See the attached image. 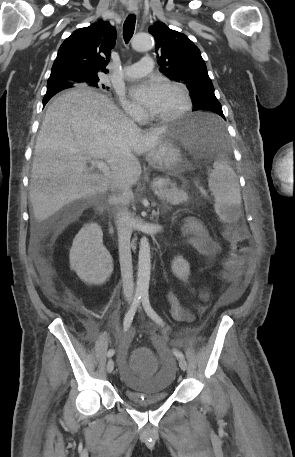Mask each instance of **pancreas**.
I'll return each instance as SVG.
<instances>
[{
  "instance_id": "1",
  "label": "pancreas",
  "mask_w": 295,
  "mask_h": 457,
  "mask_svg": "<svg viewBox=\"0 0 295 457\" xmlns=\"http://www.w3.org/2000/svg\"><path fill=\"white\" fill-rule=\"evenodd\" d=\"M157 181L164 182L162 185L156 188L158 191L157 195L162 202L180 204L188 201L189 197L187 192H185L183 189H178L176 184L172 183L168 178H158L155 180V182Z\"/></svg>"
}]
</instances>
